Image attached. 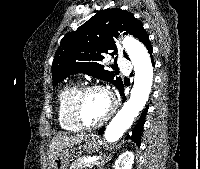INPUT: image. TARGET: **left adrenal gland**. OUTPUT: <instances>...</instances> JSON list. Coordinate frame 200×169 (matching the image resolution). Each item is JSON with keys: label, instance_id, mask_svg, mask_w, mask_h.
<instances>
[{"label": "left adrenal gland", "instance_id": "obj_1", "mask_svg": "<svg viewBox=\"0 0 200 169\" xmlns=\"http://www.w3.org/2000/svg\"><path fill=\"white\" fill-rule=\"evenodd\" d=\"M112 159V155L109 154V156H104L102 159H100V165H99V169H102L104 164L108 161H110Z\"/></svg>", "mask_w": 200, "mask_h": 169}]
</instances>
